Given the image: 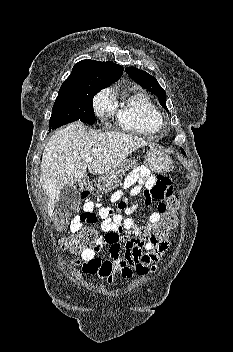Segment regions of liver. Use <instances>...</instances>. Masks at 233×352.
<instances>
[{"label":"liver","instance_id":"obj_1","mask_svg":"<svg viewBox=\"0 0 233 352\" xmlns=\"http://www.w3.org/2000/svg\"><path fill=\"white\" fill-rule=\"evenodd\" d=\"M147 144L125 133L87 131L81 122L57 130L46 145L40 166V183L49 199V215L59 201L61 189L83 179L86 168L95 175L107 174ZM86 157L93 160L86 162Z\"/></svg>","mask_w":233,"mask_h":352}]
</instances>
